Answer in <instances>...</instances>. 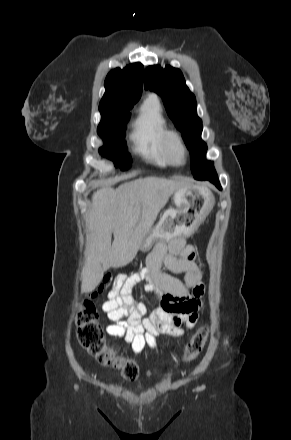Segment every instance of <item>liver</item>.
<instances>
[{
	"label": "liver",
	"instance_id": "6515ba94",
	"mask_svg": "<svg viewBox=\"0 0 291 440\" xmlns=\"http://www.w3.org/2000/svg\"><path fill=\"white\" fill-rule=\"evenodd\" d=\"M182 185L180 181L145 177L94 192L87 218L82 291H93L110 267L126 266L133 260L159 211Z\"/></svg>",
	"mask_w": 291,
	"mask_h": 440
}]
</instances>
